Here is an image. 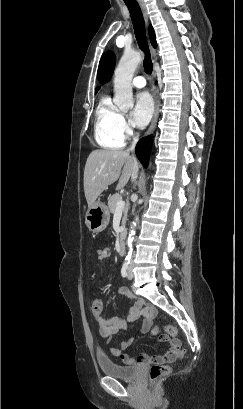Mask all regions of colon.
<instances>
[{
	"label": "colon",
	"instance_id": "colon-1",
	"mask_svg": "<svg viewBox=\"0 0 243 409\" xmlns=\"http://www.w3.org/2000/svg\"><path fill=\"white\" fill-rule=\"evenodd\" d=\"M102 309V301L100 299H93L91 302V310L93 312V314H97L100 313ZM164 330L172 337H175L177 334V330L175 327L173 326H165ZM151 334L153 336L159 337L160 339L161 337V329L159 326H153L151 328ZM185 357V351L182 350L180 353V358H184ZM170 372V368L166 365H159V364H153L150 371H149V379L152 381L158 380L164 376H166L168 373Z\"/></svg>",
	"mask_w": 243,
	"mask_h": 409
}]
</instances>
